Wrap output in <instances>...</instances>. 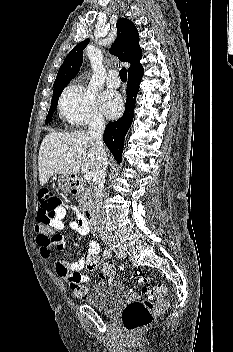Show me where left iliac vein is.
Instances as JSON below:
<instances>
[{
    "mask_svg": "<svg viewBox=\"0 0 233 352\" xmlns=\"http://www.w3.org/2000/svg\"><path fill=\"white\" fill-rule=\"evenodd\" d=\"M114 252L116 253L118 258H125L126 253L121 248H115Z\"/></svg>",
    "mask_w": 233,
    "mask_h": 352,
    "instance_id": "obj_1",
    "label": "left iliac vein"
}]
</instances>
